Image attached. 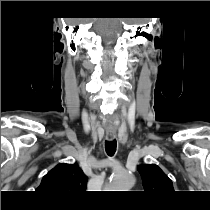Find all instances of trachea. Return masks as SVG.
Wrapping results in <instances>:
<instances>
[{
    "label": "trachea",
    "instance_id": "1",
    "mask_svg": "<svg viewBox=\"0 0 210 210\" xmlns=\"http://www.w3.org/2000/svg\"><path fill=\"white\" fill-rule=\"evenodd\" d=\"M116 147H117V142L115 139L112 141L105 142V150L109 156H113L115 154Z\"/></svg>",
    "mask_w": 210,
    "mask_h": 210
}]
</instances>
